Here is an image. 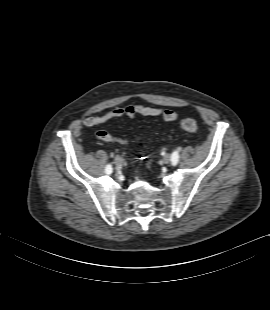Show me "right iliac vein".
I'll return each instance as SVG.
<instances>
[{"instance_id": "63e3f726", "label": "right iliac vein", "mask_w": 270, "mask_h": 310, "mask_svg": "<svg viewBox=\"0 0 270 310\" xmlns=\"http://www.w3.org/2000/svg\"><path fill=\"white\" fill-rule=\"evenodd\" d=\"M114 163L116 166H121L123 163V159L120 156H116L114 159Z\"/></svg>"}]
</instances>
